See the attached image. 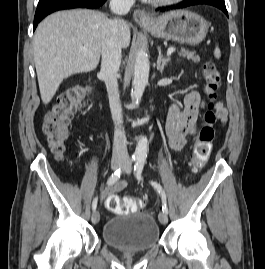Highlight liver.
<instances>
[{"mask_svg": "<svg viewBox=\"0 0 265 269\" xmlns=\"http://www.w3.org/2000/svg\"><path fill=\"white\" fill-rule=\"evenodd\" d=\"M107 21L103 13L76 9L55 12L38 25L33 52L44 104L52 100L64 79L97 67ZM118 29L121 47L127 48L130 44L129 25L119 20Z\"/></svg>", "mask_w": 265, "mask_h": 269, "instance_id": "1", "label": "liver"}]
</instances>
